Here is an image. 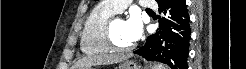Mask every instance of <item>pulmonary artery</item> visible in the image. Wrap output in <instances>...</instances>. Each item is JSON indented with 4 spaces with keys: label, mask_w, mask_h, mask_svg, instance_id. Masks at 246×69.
I'll return each instance as SVG.
<instances>
[{
    "label": "pulmonary artery",
    "mask_w": 246,
    "mask_h": 69,
    "mask_svg": "<svg viewBox=\"0 0 246 69\" xmlns=\"http://www.w3.org/2000/svg\"><path fill=\"white\" fill-rule=\"evenodd\" d=\"M108 6L115 11L116 13L122 12L125 8L126 5L130 2L128 0H110V1H105ZM142 6L147 7L148 9H152L155 7V2H147L144 1L141 3Z\"/></svg>",
    "instance_id": "obj_1"
}]
</instances>
